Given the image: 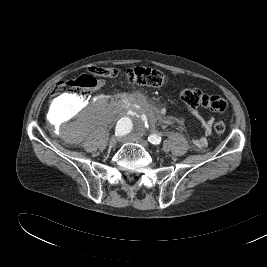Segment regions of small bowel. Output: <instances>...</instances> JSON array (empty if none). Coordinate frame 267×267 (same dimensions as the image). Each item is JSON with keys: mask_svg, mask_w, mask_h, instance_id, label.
I'll list each match as a JSON object with an SVG mask.
<instances>
[{"mask_svg": "<svg viewBox=\"0 0 267 267\" xmlns=\"http://www.w3.org/2000/svg\"><path fill=\"white\" fill-rule=\"evenodd\" d=\"M102 82L99 83V86H102ZM193 114L202 122V127L204 131V136L198 138L195 140V145L198 148H204L207 145V138L211 133V127H212V120L208 117H204L200 111L198 110H193Z\"/></svg>", "mask_w": 267, "mask_h": 267, "instance_id": "c3829d8e", "label": "small bowel"}]
</instances>
